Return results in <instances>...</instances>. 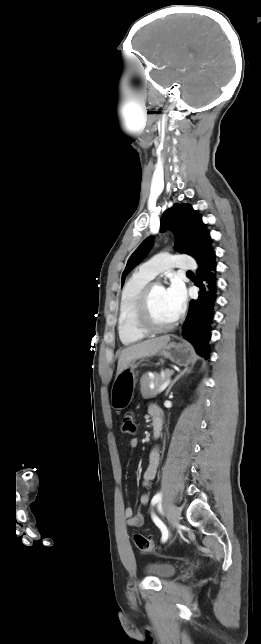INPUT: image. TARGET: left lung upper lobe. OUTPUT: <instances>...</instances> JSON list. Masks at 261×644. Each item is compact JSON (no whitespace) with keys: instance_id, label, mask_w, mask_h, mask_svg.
<instances>
[{"instance_id":"5c2ea615","label":"left lung upper lobe","mask_w":261,"mask_h":644,"mask_svg":"<svg viewBox=\"0 0 261 644\" xmlns=\"http://www.w3.org/2000/svg\"><path fill=\"white\" fill-rule=\"evenodd\" d=\"M167 229L174 234L176 249L192 256L198 264L214 253L210 234L201 216L190 205L174 204L162 215L160 231ZM151 245V238H147L130 256L122 274V285L125 276L145 257Z\"/></svg>"}]
</instances>
